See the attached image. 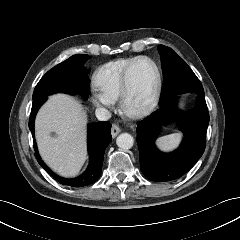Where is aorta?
Masks as SVG:
<instances>
[{"instance_id":"1","label":"aorta","mask_w":240,"mask_h":240,"mask_svg":"<svg viewBox=\"0 0 240 240\" xmlns=\"http://www.w3.org/2000/svg\"><path fill=\"white\" fill-rule=\"evenodd\" d=\"M116 144L120 149L128 150L133 147L134 139L128 133H122L117 137Z\"/></svg>"}]
</instances>
